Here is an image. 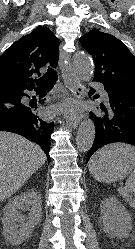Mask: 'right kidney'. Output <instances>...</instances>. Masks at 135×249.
<instances>
[{
	"label": "right kidney",
	"mask_w": 135,
	"mask_h": 249,
	"mask_svg": "<svg viewBox=\"0 0 135 249\" xmlns=\"http://www.w3.org/2000/svg\"><path fill=\"white\" fill-rule=\"evenodd\" d=\"M19 209L29 210L28 216L22 215ZM41 211V195L38 192L27 190L10 199L1 218L5 238L12 245L21 244L40 222Z\"/></svg>",
	"instance_id": "ca27d5eb"
}]
</instances>
